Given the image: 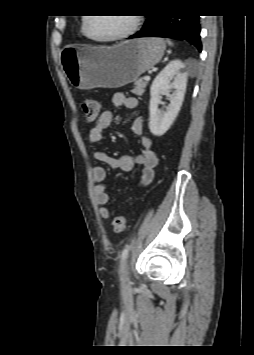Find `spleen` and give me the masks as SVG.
I'll return each mask as SVG.
<instances>
[{"label": "spleen", "instance_id": "3e777b00", "mask_svg": "<svg viewBox=\"0 0 254 355\" xmlns=\"http://www.w3.org/2000/svg\"><path fill=\"white\" fill-rule=\"evenodd\" d=\"M167 43L171 46L173 45V43L170 40H167Z\"/></svg>", "mask_w": 254, "mask_h": 355}]
</instances>
